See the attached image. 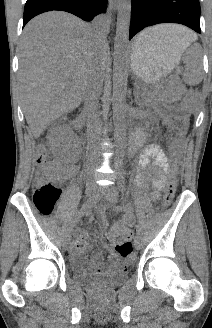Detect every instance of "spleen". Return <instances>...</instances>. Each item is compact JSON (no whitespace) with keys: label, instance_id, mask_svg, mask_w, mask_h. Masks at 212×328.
<instances>
[{"label":"spleen","instance_id":"spleen-1","mask_svg":"<svg viewBox=\"0 0 212 328\" xmlns=\"http://www.w3.org/2000/svg\"><path fill=\"white\" fill-rule=\"evenodd\" d=\"M148 42L146 32H142L138 35L137 39L135 40L134 45L140 47H144ZM188 45H185V47ZM184 47V48H185ZM198 47V45H196ZM186 62V71L184 73V81L189 85H196L202 80V72L201 69L195 65L197 64L198 60L192 61L190 58L185 59Z\"/></svg>","mask_w":212,"mask_h":328}]
</instances>
